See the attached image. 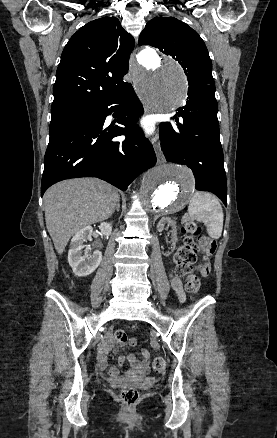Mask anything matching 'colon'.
<instances>
[{
	"label": "colon",
	"mask_w": 277,
	"mask_h": 438,
	"mask_svg": "<svg viewBox=\"0 0 277 438\" xmlns=\"http://www.w3.org/2000/svg\"><path fill=\"white\" fill-rule=\"evenodd\" d=\"M181 232L184 235L182 245L177 249L175 254V263L177 274L184 278L185 289L188 293L196 295L201 289V281L193 272L201 271L208 274L210 263L205 261L196 265L197 254L201 253L209 258L215 249V244L210 237L201 235V226L193 221H183ZM115 338L119 344L135 345L134 339H129L124 330H115ZM152 369L155 373H161L164 369V360L156 357L152 363ZM116 397L121 398L126 409H137L141 397L140 389H117Z\"/></svg>",
	"instance_id": "colon-1"
}]
</instances>
